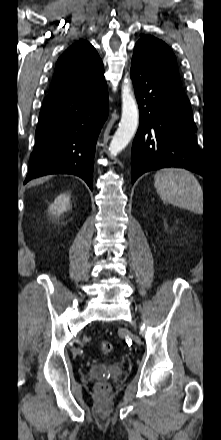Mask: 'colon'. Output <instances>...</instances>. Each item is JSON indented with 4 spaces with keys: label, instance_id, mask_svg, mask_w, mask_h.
I'll return each mask as SVG.
<instances>
[{
    "label": "colon",
    "instance_id": "1",
    "mask_svg": "<svg viewBox=\"0 0 221 440\" xmlns=\"http://www.w3.org/2000/svg\"><path fill=\"white\" fill-rule=\"evenodd\" d=\"M113 350V345L110 342H101L99 344V351L102 354H109ZM96 389L100 393H105L109 389V385L107 383H99L96 386Z\"/></svg>",
    "mask_w": 221,
    "mask_h": 440
}]
</instances>
